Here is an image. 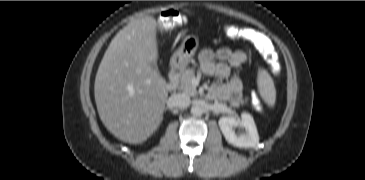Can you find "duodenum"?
Returning <instances> with one entry per match:
<instances>
[{
    "mask_svg": "<svg viewBox=\"0 0 365 180\" xmlns=\"http://www.w3.org/2000/svg\"><path fill=\"white\" fill-rule=\"evenodd\" d=\"M182 69L178 67H174L169 72L167 89L169 91H174L178 87L179 77L182 73Z\"/></svg>",
    "mask_w": 365,
    "mask_h": 180,
    "instance_id": "duodenum-1",
    "label": "duodenum"
}]
</instances>
